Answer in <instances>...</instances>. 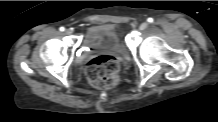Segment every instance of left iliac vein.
<instances>
[{"instance_id": "obj_1", "label": "left iliac vein", "mask_w": 218, "mask_h": 122, "mask_svg": "<svg viewBox=\"0 0 218 122\" xmlns=\"http://www.w3.org/2000/svg\"><path fill=\"white\" fill-rule=\"evenodd\" d=\"M148 27V23L147 22H143L141 25H140V30H144Z\"/></svg>"}]
</instances>
